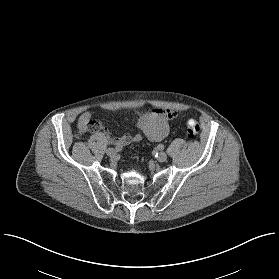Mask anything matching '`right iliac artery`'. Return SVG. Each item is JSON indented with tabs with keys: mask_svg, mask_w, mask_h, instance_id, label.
Returning a JSON list of instances; mask_svg holds the SVG:
<instances>
[{
	"mask_svg": "<svg viewBox=\"0 0 279 279\" xmlns=\"http://www.w3.org/2000/svg\"><path fill=\"white\" fill-rule=\"evenodd\" d=\"M115 150H116V152L121 151V150H122V146H116V147H115Z\"/></svg>",
	"mask_w": 279,
	"mask_h": 279,
	"instance_id": "obj_1",
	"label": "right iliac artery"
}]
</instances>
